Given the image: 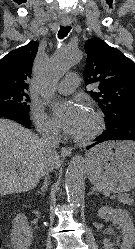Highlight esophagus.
Listing matches in <instances>:
<instances>
[{"label":"esophagus","mask_w":135,"mask_h":249,"mask_svg":"<svg viewBox=\"0 0 135 249\" xmlns=\"http://www.w3.org/2000/svg\"><path fill=\"white\" fill-rule=\"evenodd\" d=\"M62 23L64 25H69L71 24V20H63ZM60 152L62 156H70L72 154V149L70 147H62Z\"/></svg>","instance_id":"1"}]
</instances>
